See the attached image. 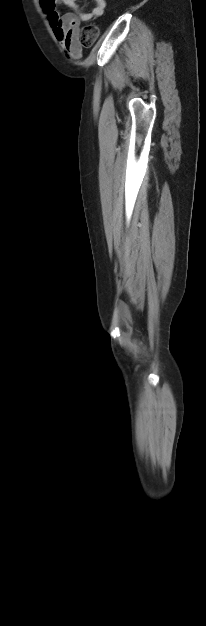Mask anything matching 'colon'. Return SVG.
I'll return each mask as SVG.
<instances>
[{
    "instance_id": "1",
    "label": "colon",
    "mask_w": 206,
    "mask_h": 626,
    "mask_svg": "<svg viewBox=\"0 0 206 626\" xmlns=\"http://www.w3.org/2000/svg\"><path fill=\"white\" fill-rule=\"evenodd\" d=\"M99 35V29L96 25H87L83 28L80 41L82 46L89 48L91 47Z\"/></svg>"
}]
</instances>
